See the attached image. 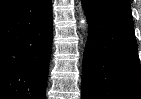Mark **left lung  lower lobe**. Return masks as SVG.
Masks as SVG:
<instances>
[{"label":"left lung lower lobe","mask_w":141,"mask_h":99,"mask_svg":"<svg viewBox=\"0 0 141 99\" xmlns=\"http://www.w3.org/2000/svg\"><path fill=\"white\" fill-rule=\"evenodd\" d=\"M89 36L82 99H141V66L129 0H82Z\"/></svg>","instance_id":"obj_1"}]
</instances>
